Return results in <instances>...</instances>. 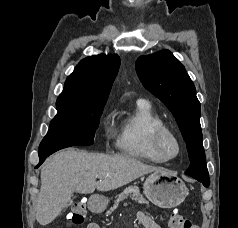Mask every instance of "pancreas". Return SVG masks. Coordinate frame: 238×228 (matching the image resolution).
<instances>
[{
    "instance_id": "1",
    "label": "pancreas",
    "mask_w": 238,
    "mask_h": 228,
    "mask_svg": "<svg viewBox=\"0 0 238 228\" xmlns=\"http://www.w3.org/2000/svg\"><path fill=\"white\" fill-rule=\"evenodd\" d=\"M129 195H131L135 201H138L141 204H149L148 201L140 194L139 188L137 186H129L118 195L114 205L107 211V213H112L117 208L118 204L126 199Z\"/></svg>"
}]
</instances>
